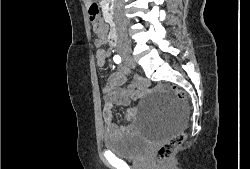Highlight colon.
I'll list each match as a JSON object with an SVG mask.
<instances>
[{"instance_id":"obj_1","label":"colon","mask_w":250,"mask_h":169,"mask_svg":"<svg viewBox=\"0 0 250 169\" xmlns=\"http://www.w3.org/2000/svg\"><path fill=\"white\" fill-rule=\"evenodd\" d=\"M88 18L91 24V28L94 32L99 33L103 29L102 21L100 18L99 9L96 6H91L88 10ZM160 88L158 87H154ZM164 88L163 86L161 87ZM175 95L182 99V101H189L188 92H184L183 88H171ZM192 105L191 103L189 104ZM191 109L190 107L188 108ZM184 139H187V134L178 133L172 134V137L166 138L163 141V145H159V150L155 151V159L158 160V166L161 169H175V164L171 161L172 155H176V150H181V146L184 145Z\"/></svg>"}]
</instances>
